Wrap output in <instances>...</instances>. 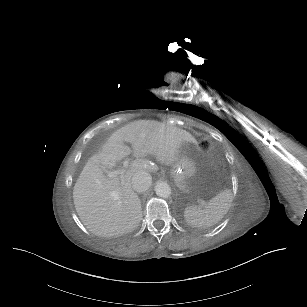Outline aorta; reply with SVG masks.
I'll return each instance as SVG.
<instances>
[{"label": "aorta", "mask_w": 307, "mask_h": 307, "mask_svg": "<svg viewBox=\"0 0 307 307\" xmlns=\"http://www.w3.org/2000/svg\"><path fill=\"white\" fill-rule=\"evenodd\" d=\"M155 192H156L157 196L164 198V199H167V198L170 197V195L172 193V189H171V187L168 183L158 182L155 185Z\"/></svg>", "instance_id": "aorta-1"}]
</instances>
